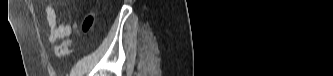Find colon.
Wrapping results in <instances>:
<instances>
[{
	"label": "colon",
	"mask_w": 333,
	"mask_h": 76,
	"mask_svg": "<svg viewBox=\"0 0 333 76\" xmlns=\"http://www.w3.org/2000/svg\"><path fill=\"white\" fill-rule=\"evenodd\" d=\"M93 23H94L93 15L91 14L87 15L82 22L81 31L85 34L88 33L91 30ZM70 47H71L70 40L63 41L61 44H59L56 47L57 55L61 57L67 55L70 52Z\"/></svg>",
	"instance_id": "1"
}]
</instances>
